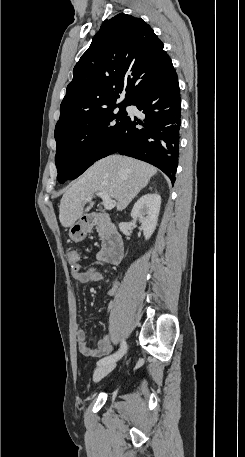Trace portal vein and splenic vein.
Masks as SVG:
<instances>
[{"mask_svg": "<svg viewBox=\"0 0 245 457\" xmlns=\"http://www.w3.org/2000/svg\"><path fill=\"white\" fill-rule=\"evenodd\" d=\"M96 194L97 196H101L104 202V206L107 208V210H110V208H114V206H116V200H112L111 196H109L107 192H96ZM86 200H91V196H88Z\"/></svg>", "mask_w": 245, "mask_h": 457, "instance_id": "18ae733b", "label": "portal vein and splenic vein"}]
</instances>
